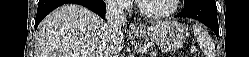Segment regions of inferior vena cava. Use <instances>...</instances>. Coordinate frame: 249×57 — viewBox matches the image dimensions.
<instances>
[{"label":"inferior vena cava","mask_w":249,"mask_h":57,"mask_svg":"<svg viewBox=\"0 0 249 57\" xmlns=\"http://www.w3.org/2000/svg\"><path fill=\"white\" fill-rule=\"evenodd\" d=\"M107 29L110 35H115L126 25V16L122 7L115 2L107 4L106 11Z\"/></svg>","instance_id":"1"}]
</instances>
